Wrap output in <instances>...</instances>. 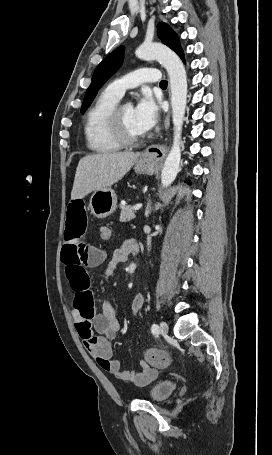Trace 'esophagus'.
<instances>
[{
	"label": "esophagus",
	"instance_id": "1",
	"mask_svg": "<svg viewBox=\"0 0 272 455\" xmlns=\"http://www.w3.org/2000/svg\"><path fill=\"white\" fill-rule=\"evenodd\" d=\"M170 125V111L165 118V129H168ZM168 147L163 143L153 144L148 146L143 155L144 157L154 160L156 162H162L167 154Z\"/></svg>",
	"mask_w": 272,
	"mask_h": 455
}]
</instances>
